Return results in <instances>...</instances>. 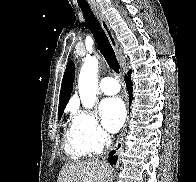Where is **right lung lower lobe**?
I'll use <instances>...</instances> for the list:
<instances>
[{"mask_svg":"<svg viewBox=\"0 0 196 182\" xmlns=\"http://www.w3.org/2000/svg\"><path fill=\"white\" fill-rule=\"evenodd\" d=\"M131 71L128 72V76H125V82L127 85V91L129 92V102L131 103L132 99H133V95H132V85L133 83L131 82V77H130ZM120 147V145H118ZM115 153V151H112L110 153V157L108 158L109 162L111 164H116L117 162V156H113V154Z\"/></svg>","mask_w":196,"mask_h":182,"instance_id":"1","label":"right lung lower lobe"}]
</instances>
